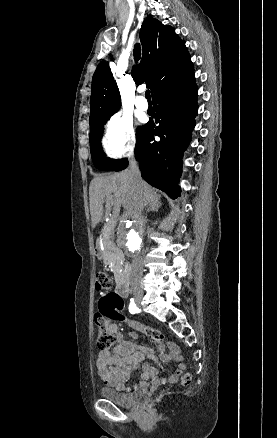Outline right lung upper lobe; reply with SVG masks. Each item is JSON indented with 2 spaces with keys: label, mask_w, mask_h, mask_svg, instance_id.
<instances>
[{
  "label": "right lung upper lobe",
  "mask_w": 277,
  "mask_h": 438,
  "mask_svg": "<svg viewBox=\"0 0 277 438\" xmlns=\"http://www.w3.org/2000/svg\"><path fill=\"white\" fill-rule=\"evenodd\" d=\"M140 39L143 57L132 69L136 84L147 82L152 96L162 85L178 79L193 68L185 46L171 26H164L154 18L144 20ZM120 93L114 83L109 65L101 61L92 79L89 123L107 122L119 110Z\"/></svg>",
  "instance_id": "1"
}]
</instances>
